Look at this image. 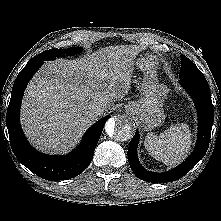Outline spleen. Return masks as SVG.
I'll list each match as a JSON object with an SVG mask.
<instances>
[{"label": "spleen", "mask_w": 221, "mask_h": 221, "mask_svg": "<svg viewBox=\"0 0 221 221\" xmlns=\"http://www.w3.org/2000/svg\"><path fill=\"white\" fill-rule=\"evenodd\" d=\"M191 135L187 124H175L159 136L149 133L145 137L144 145L153 158L166 165L174 166L189 153Z\"/></svg>", "instance_id": "obj_1"}]
</instances>
